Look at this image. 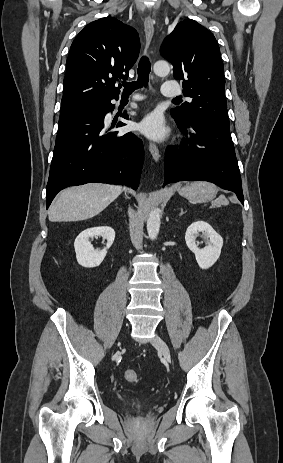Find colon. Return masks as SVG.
<instances>
[{"label":"colon","mask_w":283,"mask_h":463,"mask_svg":"<svg viewBox=\"0 0 283 463\" xmlns=\"http://www.w3.org/2000/svg\"><path fill=\"white\" fill-rule=\"evenodd\" d=\"M124 377L128 382L135 383L138 381V373L135 370H126L124 372Z\"/></svg>","instance_id":"5ec220e1"}]
</instances>
